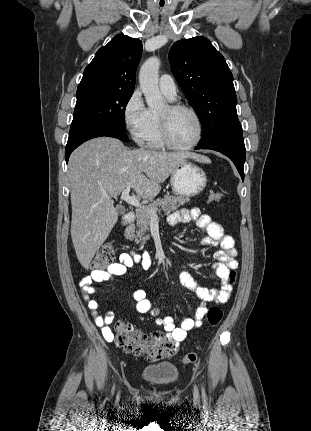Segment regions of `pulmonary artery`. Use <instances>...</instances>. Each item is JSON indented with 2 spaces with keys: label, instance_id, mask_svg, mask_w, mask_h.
Segmentation results:
<instances>
[{
  "label": "pulmonary artery",
  "instance_id": "1",
  "mask_svg": "<svg viewBox=\"0 0 311 431\" xmlns=\"http://www.w3.org/2000/svg\"><path fill=\"white\" fill-rule=\"evenodd\" d=\"M158 86L161 92L165 94L168 98H175L176 84L174 82V79L170 75L163 74L158 80Z\"/></svg>",
  "mask_w": 311,
  "mask_h": 431
}]
</instances>
